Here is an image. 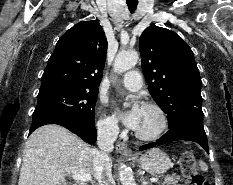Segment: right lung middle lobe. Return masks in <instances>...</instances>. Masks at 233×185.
I'll return each mask as SVG.
<instances>
[{
    "instance_id": "1",
    "label": "right lung middle lobe",
    "mask_w": 233,
    "mask_h": 185,
    "mask_svg": "<svg viewBox=\"0 0 233 185\" xmlns=\"http://www.w3.org/2000/svg\"><path fill=\"white\" fill-rule=\"evenodd\" d=\"M98 91L52 88L40 90L33 118L66 117L95 125L94 109Z\"/></svg>"
}]
</instances>
